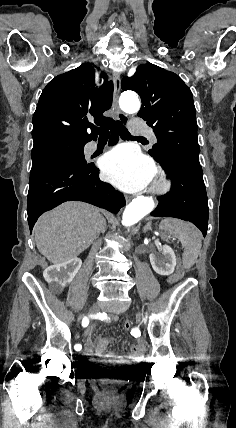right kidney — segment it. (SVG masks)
<instances>
[{"instance_id": "1", "label": "right kidney", "mask_w": 236, "mask_h": 428, "mask_svg": "<svg viewBox=\"0 0 236 428\" xmlns=\"http://www.w3.org/2000/svg\"><path fill=\"white\" fill-rule=\"evenodd\" d=\"M81 266L82 260L74 256V258L67 260V262H63V264H54V266L46 268L43 272V276L49 284L48 290L50 292H57L56 298L62 299L63 293L59 291L72 282Z\"/></svg>"}]
</instances>
